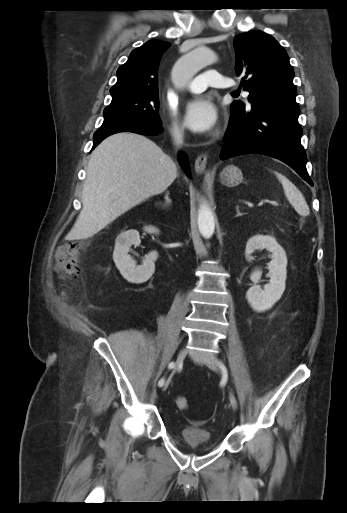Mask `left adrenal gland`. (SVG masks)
Wrapping results in <instances>:
<instances>
[{"label": "left adrenal gland", "instance_id": "left-adrenal-gland-1", "mask_svg": "<svg viewBox=\"0 0 347 513\" xmlns=\"http://www.w3.org/2000/svg\"><path fill=\"white\" fill-rule=\"evenodd\" d=\"M239 208H240V206H239V205H237V206H236V213H237V214H236V216H235V217L242 216V213L240 212V209H239Z\"/></svg>", "mask_w": 347, "mask_h": 513}]
</instances>
